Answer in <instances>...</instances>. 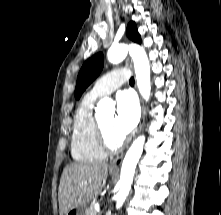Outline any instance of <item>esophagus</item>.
<instances>
[{"instance_id":"obj_1","label":"esophagus","mask_w":221,"mask_h":215,"mask_svg":"<svg viewBox=\"0 0 221 215\" xmlns=\"http://www.w3.org/2000/svg\"><path fill=\"white\" fill-rule=\"evenodd\" d=\"M127 62L129 64L130 67H132V59L128 58ZM140 103H141V120L137 129V134L141 131L143 124H144V120H145V108H144V104L142 99H140ZM123 160V154H121L120 156H118L116 159H114L111 164H110V168L112 169H116L118 168Z\"/></svg>"}]
</instances>
